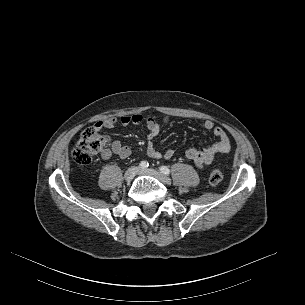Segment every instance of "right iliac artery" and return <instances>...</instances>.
I'll return each instance as SVG.
<instances>
[{
	"label": "right iliac artery",
	"instance_id": "obj_1",
	"mask_svg": "<svg viewBox=\"0 0 305 305\" xmlns=\"http://www.w3.org/2000/svg\"><path fill=\"white\" fill-rule=\"evenodd\" d=\"M139 165L141 169H146L149 166L147 161H141Z\"/></svg>",
	"mask_w": 305,
	"mask_h": 305
}]
</instances>
